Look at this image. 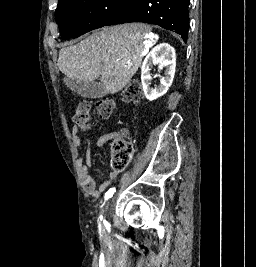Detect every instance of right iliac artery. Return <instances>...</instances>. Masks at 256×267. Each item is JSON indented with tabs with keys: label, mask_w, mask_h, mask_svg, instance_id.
Returning <instances> with one entry per match:
<instances>
[{
	"label": "right iliac artery",
	"mask_w": 256,
	"mask_h": 267,
	"mask_svg": "<svg viewBox=\"0 0 256 267\" xmlns=\"http://www.w3.org/2000/svg\"><path fill=\"white\" fill-rule=\"evenodd\" d=\"M114 192H115V188H110L106 193H105V201L106 200H108L109 198H111L112 196H113V194H114ZM103 219V217L102 216H100V220H102Z\"/></svg>",
	"instance_id": "1"
}]
</instances>
